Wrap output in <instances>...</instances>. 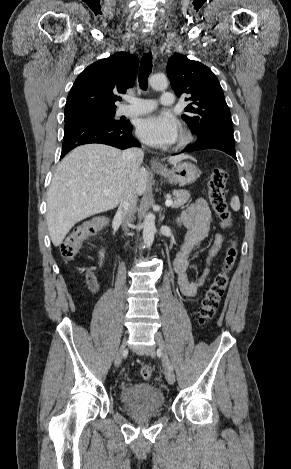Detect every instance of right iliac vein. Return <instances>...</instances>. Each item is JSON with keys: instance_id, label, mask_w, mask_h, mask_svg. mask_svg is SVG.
<instances>
[{"instance_id": "obj_1", "label": "right iliac vein", "mask_w": 291, "mask_h": 469, "mask_svg": "<svg viewBox=\"0 0 291 469\" xmlns=\"http://www.w3.org/2000/svg\"><path fill=\"white\" fill-rule=\"evenodd\" d=\"M125 347H126V339L123 340L121 346H120V349L116 355V358H115V365L118 367L120 366L121 362H122V357H123V354L125 352Z\"/></svg>"}]
</instances>
